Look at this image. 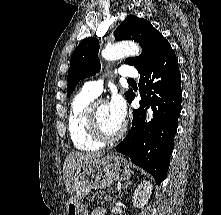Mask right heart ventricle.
Returning <instances> with one entry per match:
<instances>
[{
	"label": "right heart ventricle",
	"instance_id": "right-heart-ventricle-1",
	"mask_svg": "<svg viewBox=\"0 0 221 215\" xmlns=\"http://www.w3.org/2000/svg\"><path fill=\"white\" fill-rule=\"evenodd\" d=\"M95 98L83 90L77 93L70 103L67 118L68 132L73 146L80 151L91 152L102 146V143L89 135L85 125V110Z\"/></svg>",
	"mask_w": 221,
	"mask_h": 215
}]
</instances>
